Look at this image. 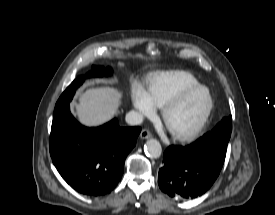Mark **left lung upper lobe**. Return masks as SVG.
<instances>
[{
  "label": "left lung upper lobe",
  "mask_w": 275,
  "mask_h": 215,
  "mask_svg": "<svg viewBox=\"0 0 275 215\" xmlns=\"http://www.w3.org/2000/svg\"><path fill=\"white\" fill-rule=\"evenodd\" d=\"M232 117H225L216 127L193 143L198 153L208 155L224 163L227 145L231 136Z\"/></svg>",
  "instance_id": "5c2ea615"
}]
</instances>
